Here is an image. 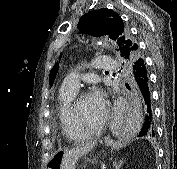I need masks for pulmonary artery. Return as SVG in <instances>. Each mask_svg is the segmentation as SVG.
Here are the masks:
<instances>
[{
  "instance_id": "1",
  "label": "pulmonary artery",
  "mask_w": 177,
  "mask_h": 169,
  "mask_svg": "<svg viewBox=\"0 0 177 169\" xmlns=\"http://www.w3.org/2000/svg\"><path fill=\"white\" fill-rule=\"evenodd\" d=\"M92 66L94 70L101 71L103 69H108L115 66V62L108 56L98 57L93 63ZM79 73L77 71L71 72L65 77L62 82L61 88L64 90L78 91L79 89Z\"/></svg>"
}]
</instances>
